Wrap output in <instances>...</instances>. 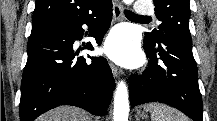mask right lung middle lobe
<instances>
[{
  "label": "right lung middle lobe",
  "mask_w": 217,
  "mask_h": 121,
  "mask_svg": "<svg viewBox=\"0 0 217 121\" xmlns=\"http://www.w3.org/2000/svg\"><path fill=\"white\" fill-rule=\"evenodd\" d=\"M64 24L65 23L58 22V21H41V22L33 23L31 34L37 33V32H40V31H43L49 28L58 27Z\"/></svg>",
  "instance_id": "obj_1"
}]
</instances>
